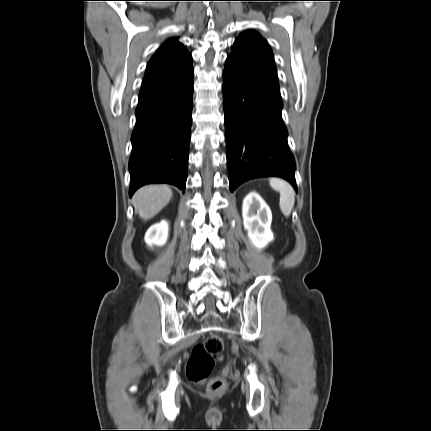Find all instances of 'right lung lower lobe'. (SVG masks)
<instances>
[{
    "label": "right lung lower lobe",
    "mask_w": 431,
    "mask_h": 431,
    "mask_svg": "<svg viewBox=\"0 0 431 431\" xmlns=\"http://www.w3.org/2000/svg\"><path fill=\"white\" fill-rule=\"evenodd\" d=\"M193 76L173 91L138 104L129 160L130 196L141 186L168 183L183 192L192 124Z\"/></svg>",
    "instance_id": "98d812e1"
}]
</instances>
